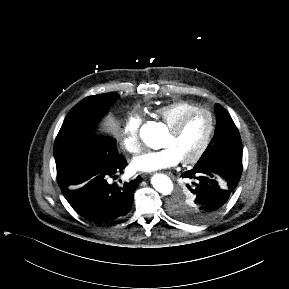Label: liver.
<instances>
[{
  "label": "liver",
  "mask_w": 289,
  "mask_h": 289,
  "mask_svg": "<svg viewBox=\"0 0 289 289\" xmlns=\"http://www.w3.org/2000/svg\"><path fill=\"white\" fill-rule=\"evenodd\" d=\"M102 130L118 134L119 124L113 116L109 115L102 123Z\"/></svg>",
  "instance_id": "1"
}]
</instances>
